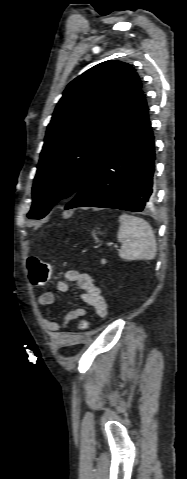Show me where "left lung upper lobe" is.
<instances>
[{
    "label": "left lung upper lobe",
    "instance_id": "1",
    "mask_svg": "<svg viewBox=\"0 0 187 479\" xmlns=\"http://www.w3.org/2000/svg\"><path fill=\"white\" fill-rule=\"evenodd\" d=\"M142 84L129 64L102 62L65 89L48 125L28 217L75 194L118 138Z\"/></svg>",
    "mask_w": 187,
    "mask_h": 479
}]
</instances>
